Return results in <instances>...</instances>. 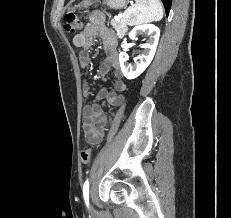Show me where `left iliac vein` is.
I'll use <instances>...</instances> for the list:
<instances>
[{"label":"left iliac vein","mask_w":231,"mask_h":218,"mask_svg":"<svg viewBox=\"0 0 231 218\" xmlns=\"http://www.w3.org/2000/svg\"><path fill=\"white\" fill-rule=\"evenodd\" d=\"M90 210H91V211L93 210V206H92V205H90Z\"/></svg>","instance_id":"4c4485c4"}]
</instances>
